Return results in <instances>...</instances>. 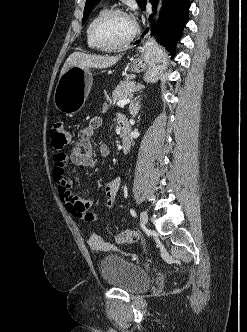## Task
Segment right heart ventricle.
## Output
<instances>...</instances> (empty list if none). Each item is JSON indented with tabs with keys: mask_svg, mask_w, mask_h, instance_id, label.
Here are the masks:
<instances>
[{
	"mask_svg": "<svg viewBox=\"0 0 247 332\" xmlns=\"http://www.w3.org/2000/svg\"><path fill=\"white\" fill-rule=\"evenodd\" d=\"M105 8H100L98 11H96L94 13V15L91 17V19L89 20L87 27H86V41H87V45L89 48L93 49V50H102L92 39L91 37V33H90V28H91V24L94 21V19L100 15L103 11H105Z\"/></svg>",
	"mask_w": 247,
	"mask_h": 332,
	"instance_id": "e07e8e85",
	"label": "right heart ventricle"
}]
</instances>
